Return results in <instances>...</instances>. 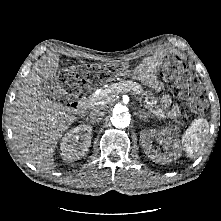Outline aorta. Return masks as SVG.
Listing matches in <instances>:
<instances>
[{
  "label": "aorta",
  "mask_w": 221,
  "mask_h": 221,
  "mask_svg": "<svg viewBox=\"0 0 221 221\" xmlns=\"http://www.w3.org/2000/svg\"><path fill=\"white\" fill-rule=\"evenodd\" d=\"M131 116L126 112L123 107L117 106L113 109L111 123L116 128H126L130 125Z\"/></svg>",
  "instance_id": "obj_1"
}]
</instances>
